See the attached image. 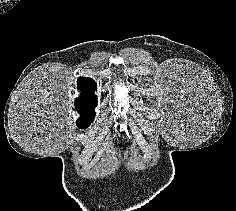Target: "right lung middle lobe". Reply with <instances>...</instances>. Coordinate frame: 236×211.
<instances>
[{
	"label": "right lung middle lobe",
	"instance_id": "right-lung-middle-lobe-1",
	"mask_svg": "<svg viewBox=\"0 0 236 211\" xmlns=\"http://www.w3.org/2000/svg\"><path fill=\"white\" fill-rule=\"evenodd\" d=\"M94 118H95V114L93 115L81 114V117L76 121V124L78 128L80 129L87 128L92 123Z\"/></svg>",
	"mask_w": 236,
	"mask_h": 211
}]
</instances>
